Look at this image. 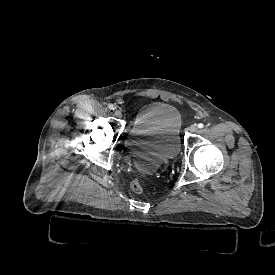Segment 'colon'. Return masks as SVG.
<instances>
[{"mask_svg":"<svg viewBox=\"0 0 275 275\" xmlns=\"http://www.w3.org/2000/svg\"><path fill=\"white\" fill-rule=\"evenodd\" d=\"M130 189L132 192L141 194L144 191V186L141 180L134 179L130 183Z\"/></svg>","mask_w":275,"mask_h":275,"instance_id":"obj_1","label":"colon"}]
</instances>
